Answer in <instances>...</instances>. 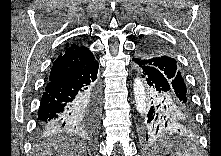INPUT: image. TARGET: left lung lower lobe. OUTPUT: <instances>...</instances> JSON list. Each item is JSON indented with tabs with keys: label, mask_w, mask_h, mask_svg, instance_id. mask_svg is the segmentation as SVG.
Returning <instances> with one entry per match:
<instances>
[{
	"label": "left lung lower lobe",
	"mask_w": 221,
	"mask_h": 156,
	"mask_svg": "<svg viewBox=\"0 0 221 156\" xmlns=\"http://www.w3.org/2000/svg\"><path fill=\"white\" fill-rule=\"evenodd\" d=\"M141 71L142 80V138L153 142L169 134L192 127L193 108L179 99L174 76L165 70L133 59Z\"/></svg>",
	"instance_id": "1"
}]
</instances>
